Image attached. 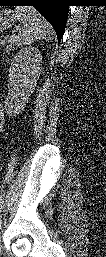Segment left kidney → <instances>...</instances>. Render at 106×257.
<instances>
[{
    "instance_id": "obj_1",
    "label": "left kidney",
    "mask_w": 106,
    "mask_h": 257,
    "mask_svg": "<svg viewBox=\"0 0 106 257\" xmlns=\"http://www.w3.org/2000/svg\"><path fill=\"white\" fill-rule=\"evenodd\" d=\"M42 56L37 48H22L14 57L9 69V93L5 104L9 110L22 109L39 78Z\"/></svg>"
}]
</instances>
